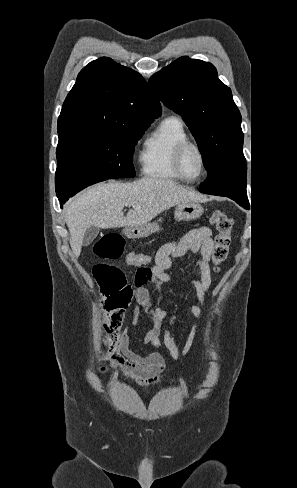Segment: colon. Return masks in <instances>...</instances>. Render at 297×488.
<instances>
[{
	"label": "colon",
	"mask_w": 297,
	"mask_h": 488,
	"mask_svg": "<svg viewBox=\"0 0 297 488\" xmlns=\"http://www.w3.org/2000/svg\"><path fill=\"white\" fill-rule=\"evenodd\" d=\"M210 221L216 230L211 259L213 264L218 266L226 260L229 253L233 219L223 211L215 210ZM94 253L103 260H117L123 254V238L116 233L103 235L95 243ZM142 260L147 261L148 258ZM93 272L101 288V305L106 315L104 329L107 351L113 354L118 347L124 312L131 301L135 287L146 282L148 267L139 266L132 283L128 282L120 267L106 261L97 263L93 267Z\"/></svg>",
	"instance_id": "1"
}]
</instances>
